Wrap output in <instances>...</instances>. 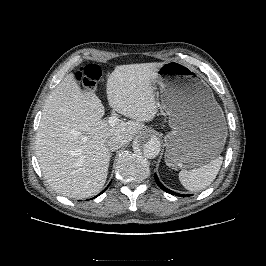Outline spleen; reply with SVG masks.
I'll use <instances>...</instances> for the list:
<instances>
[{
  "label": "spleen",
  "instance_id": "1",
  "mask_svg": "<svg viewBox=\"0 0 266 266\" xmlns=\"http://www.w3.org/2000/svg\"><path fill=\"white\" fill-rule=\"evenodd\" d=\"M223 157L218 156L209 163L187 171L179 172V180L183 187L190 191H200L208 187L216 178L221 165Z\"/></svg>",
  "mask_w": 266,
  "mask_h": 266
}]
</instances>
